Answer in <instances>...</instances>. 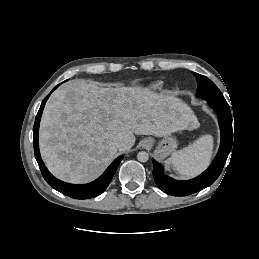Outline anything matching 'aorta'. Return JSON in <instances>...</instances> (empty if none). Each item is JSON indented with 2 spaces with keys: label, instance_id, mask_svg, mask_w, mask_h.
Listing matches in <instances>:
<instances>
[{
  "label": "aorta",
  "instance_id": "1",
  "mask_svg": "<svg viewBox=\"0 0 259 259\" xmlns=\"http://www.w3.org/2000/svg\"><path fill=\"white\" fill-rule=\"evenodd\" d=\"M137 159L138 161L140 162H147L148 159H149V154L145 151H140L138 154H137Z\"/></svg>",
  "mask_w": 259,
  "mask_h": 259
}]
</instances>
